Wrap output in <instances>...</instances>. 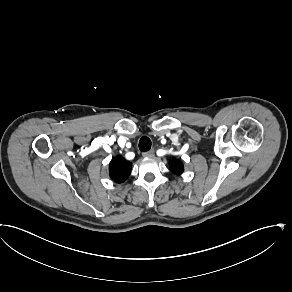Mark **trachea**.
Instances as JSON below:
<instances>
[{
    "mask_svg": "<svg viewBox=\"0 0 292 292\" xmlns=\"http://www.w3.org/2000/svg\"><path fill=\"white\" fill-rule=\"evenodd\" d=\"M152 143L147 136H143L139 141V149L142 152L149 151L151 149Z\"/></svg>",
    "mask_w": 292,
    "mask_h": 292,
    "instance_id": "trachea-1",
    "label": "trachea"
}]
</instances>
